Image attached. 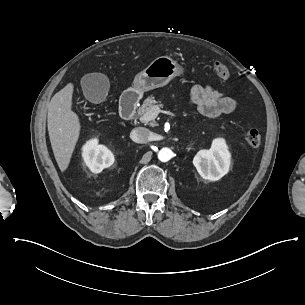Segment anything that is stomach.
Instances as JSON below:
<instances>
[{"label": "stomach", "instance_id": "1", "mask_svg": "<svg viewBox=\"0 0 305 305\" xmlns=\"http://www.w3.org/2000/svg\"><path fill=\"white\" fill-rule=\"evenodd\" d=\"M183 71V67L172 58L158 57L135 76L133 87L128 90L129 96L137 103L144 92L167 85L171 79L182 75Z\"/></svg>", "mask_w": 305, "mask_h": 305}]
</instances>
